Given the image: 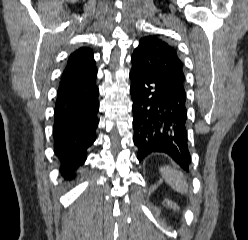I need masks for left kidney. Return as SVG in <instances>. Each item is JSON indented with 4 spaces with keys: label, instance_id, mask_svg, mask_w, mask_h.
<instances>
[{
    "label": "left kidney",
    "instance_id": "5707ae66",
    "mask_svg": "<svg viewBox=\"0 0 248 240\" xmlns=\"http://www.w3.org/2000/svg\"><path fill=\"white\" fill-rule=\"evenodd\" d=\"M165 202H166L168 207H170L174 210H176V209L179 210V207L175 203H173L172 201L165 199Z\"/></svg>",
    "mask_w": 248,
    "mask_h": 240
}]
</instances>
